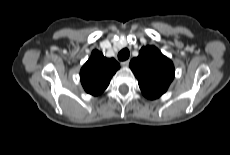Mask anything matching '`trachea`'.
Listing matches in <instances>:
<instances>
[{
  "label": "trachea",
  "mask_w": 230,
  "mask_h": 155,
  "mask_svg": "<svg viewBox=\"0 0 230 155\" xmlns=\"http://www.w3.org/2000/svg\"><path fill=\"white\" fill-rule=\"evenodd\" d=\"M130 52L127 48L122 49L119 53H118V59L120 61H125L129 58Z\"/></svg>",
  "instance_id": "1"
}]
</instances>
